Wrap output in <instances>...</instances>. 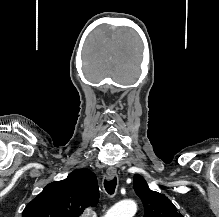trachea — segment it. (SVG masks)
<instances>
[{
	"label": "trachea",
	"mask_w": 219,
	"mask_h": 217,
	"mask_svg": "<svg viewBox=\"0 0 219 217\" xmlns=\"http://www.w3.org/2000/svg\"><path fill=\"white\" fill-rule=\"evenodd\" d=\"M116 185H117V178L116 177H114L111 180H105L104 181L105 190L110 195H112L114 193Z\"/></svg>",
	"instance_id": "trachea-1"
}]
</instances>
